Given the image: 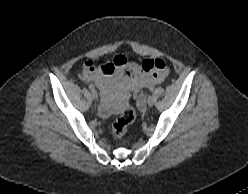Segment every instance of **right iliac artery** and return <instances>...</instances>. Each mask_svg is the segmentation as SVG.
<instances>
[{
    "label": "right iliac artery",
    "instance_id": "82829eb1",
    "mask_svg": "<svg viewBox=\"0 0 248 194\" xmlns=\"http://www.w3.org/2000/svg\"><path fill=\"white\" fill-rule=\"evenodd\" d=\"M89 89H90L91 91L94 90V85L90 84V85H89Z\"/></svg>",
    "mask_w": 248,
    "mask_h": 194
}]
</instances>
